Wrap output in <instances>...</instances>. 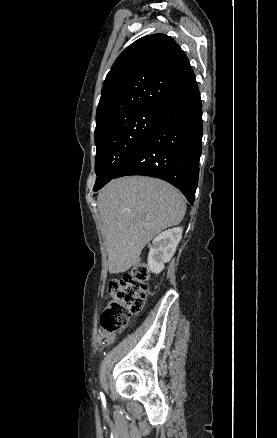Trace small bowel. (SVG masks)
<instances>
[{
    "instance_id": "1",
    "label": "small bowel",
    "mask_w": 277,
    "mask_h": 438,
    "mask_svg": "<svg viewBox=\"0 0 277 438\" xmlns=\"http://www.w3.org/2000/svg\"><path fill=\"white\" fill-rule=\"evenodd\" d=\"M115 338L116 336L114 333H107L104 331H100L97 337L99 342L104 341L106 344L114 343Z\"/></svg>"
}]
</instances>
